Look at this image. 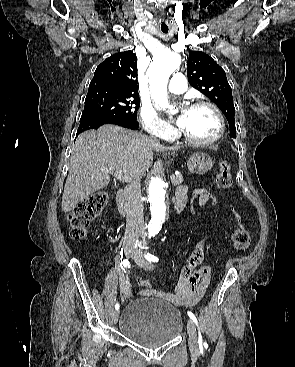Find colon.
I'll return each instance as SVG.
<instances>
[{
	"label": "colon",
	"instance_id": "5ec220e1",
	"mask_svg": "<svg viewBox=\"0 0 295 367\" xmlns=\"http://www.w3.org/2000/svg\"><path fill=\"white\" fill-rule=\"evenodd\" d=\"M232 184V176L230 165L226 161L219 163L218 172L216 175V185L219 189H228ZM197 196L191 195L189 197V205L186 209L190 212H196L200 208L202 202L197 200ZM206 208L210 206L218 205L219 196L211 195L208 196ZM109 201V195L105 191H98L80 202L68 215V221L70 225V236L74 240H82L85 238L87 228L92 221H94L106 208ZM233 216L235 221L238 223L237 228L232 233V242L236 251L243 252L250 245V235L240 224L239 215L233 210ZM140 285L144 288V292L147 294L152 293L150 281L145 278H140Z\"/></svg>",
	"mask_w": 295,
	"mask_h": 367
}]
</instances>
